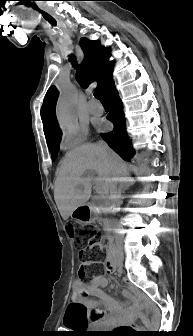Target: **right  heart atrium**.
Masks as SVG:
<instances>
[{
  "label": "right heart atrium",
  "mask_w": 193,
  "mask_h": 336,
  "mask_svg": "<svg viewBox=\"0 0 193 336\" xmlns=\"http://www.w3.org/2000/svg\"><path fill=\"white\" fill-rule=\"evenodd\" d=\"M88 139V129L86 126H79L71 131H64L62 135V146L65 149L78 147Z\"/></svg>",
  "instance_id": "1"
}]
</instances>
